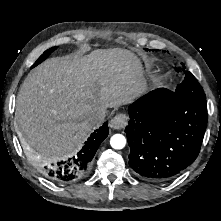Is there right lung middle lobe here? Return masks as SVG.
<instances>
[{"label": "right lung middle lobe", "instance_id": "right-lung-middle-lobe-1", "mask_svg": "<svg viewBox=\"0 0 221 221\" xmlns=\"http://www.w3.org/2000/svg\"><path fill=\"white\" fill-rule=\"evenodd\" d=\"M57 47H52L48 50H46L39 58L38 60L32 65V68L37 66L38 64H40L42 61H44L46 59V57H48L50 55V53H52L54 50H56Z\"/></svg>", "mask_w": 221, "mask_h": 221}]
</instances>
